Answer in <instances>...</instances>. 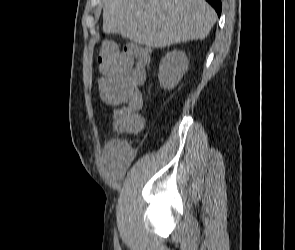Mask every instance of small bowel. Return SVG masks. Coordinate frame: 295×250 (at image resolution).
Listing matches in <instances>:
<instances>
[{"instance_id":"obj_1","label":"small bowel","mask_w":295,"mask_h":250,"mask_svg":"<svg viewBox=\"0 0 295 250\" xmlns=\"http://www.w3.org/2000/svg\"><path fill=\"white\" fill-rule=\"evenodd\" d=\"M149 63L148 50L123 54L116 66L98 80L102 101L111 106L130 104L141 108V88L146 80ZM123 152L124 145L117 140L109 142L104 150L105 159L114 176H119L123 171Z\"/></svg>"}]
</instances>
